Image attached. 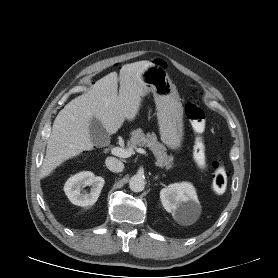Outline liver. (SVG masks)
I'll list each match as a JSON object with an SVG mask.
<instances>
[{
  "mask_svg": "<svg viewBox=\"0 0 278 278\" xmlns=\"http://www.w3.org/2000/svg\"><path fill=\"white\" fill-rule=\"evenodd\" d=\"M148 64L150 62L139 61L122 66L119 79L116 72H111L58 113L41 167L42 178L66 160L93 149L89 131L93 117L101 121L109 135L116 133L125 120L136 118L146 95L139 75Z\"/></svg>",
  "mask_w": 278,
  "mask_h": 278,
  "instance_id": "obj_1",
  "label": "liver"
}]
</instances>
